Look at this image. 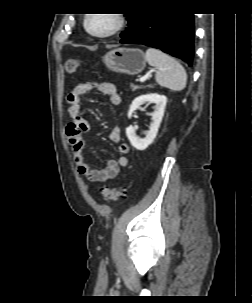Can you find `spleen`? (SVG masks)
<instances>
[{"label":"spleen","instance_id":"obj_1","mask_svg":"<svg viewBox=\"0 0 252 303\" xmlns=\"http://www.w3.org/2000/svg\"><path fill=\"white\" fill-rule=\"evenodd\" d=\"M145 59L149 65L157 68L156 82L172 91L185 88L187 74L182 65L173 57L154 48L147 49Z\"/></svg>","mask_w":252,"mask_h":303}]
</instances>
